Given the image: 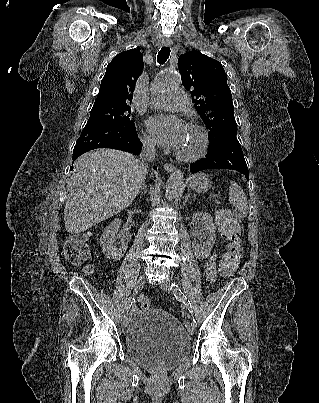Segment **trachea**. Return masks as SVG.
I'll list each match as a JSON object with an SVG mask.
<instances>
[{"instance_id":"obj_1","label":"trachea","mask_w":319,"mask_h":403,"mask_svg":"<svg viewBox=\"0 0 319 403\" xmlns=\"http://www.w3.org/2000/svg\"><path fill=\"white\" fill-rule=\"evenodd\" d=\"M170 55V48L169 47H162L161 50L158 52L157 62L162 65L164 64Z\"/></svg>"}]
</instances>
